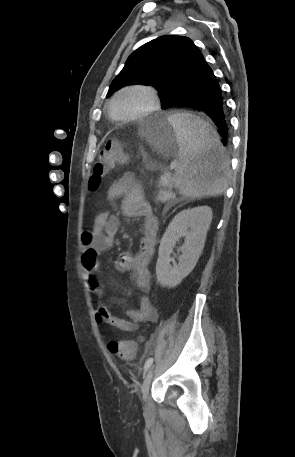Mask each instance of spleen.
<instances>
[{
	"instance_id": "obj_1",
	"label": "spleen",
	"mask_w": 295,
	"mask_h": 457,
	"mask_svg": "<svg viewBox=\"0 0 295 457\" xmlns=\"http://www.w3.org/2000/svg\"><path fill=\"white\" fill-rule=\"evenodd\" d=\"M169 121L179 147L174 183L180 194L191 198L222 194L229 174L217 131L191 113H175Z\"/></svg>"
}]
</instances>
